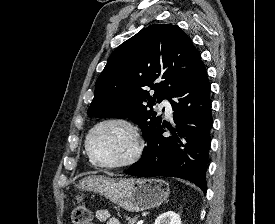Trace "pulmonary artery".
I'll return each mask as SVG.
<instances>
[{
    "label": "pulmonary artery",
    "instance_id": "1",
    "mask_svg": "<svg viewBox=\"0 0 275 224\" xmlns=\"http://www.w3.org/2000/svg\"><path fill=\"white\" fill-rule=\"evenodd\" d=\"M159 107L165 109L167 116L172 115V107H171L170 101L168 99H163L160 102Z\"/></svg>",
    "mask_w": 275,
    "mask_h": 224
}]
</instances>
